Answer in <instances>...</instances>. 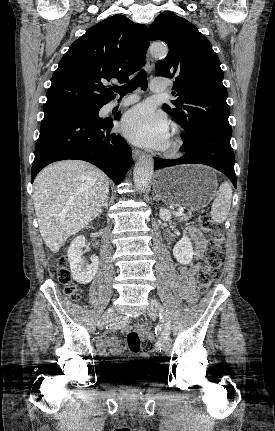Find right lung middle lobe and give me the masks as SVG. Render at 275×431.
Returning a JSON list of instances; mask_svg holds the SVG:
<instances>
[{"mask_svg":"<svg viewBox=\"0 0 275 431\" xmlns=\"http://www.w3.org/2000/svg\"><path fill=\"white\" fill-rule=\"evenodd\" d=\"M99 108H100V106L76 107V108L61 110V111H57V112L79 113V114H83L87 117L99 119V116H98Z\"/></svg>","mask_w":275,"mask_h":431,"instance_id":"right-lung-middle-lobe-1","label":"right lung middle lobe"}]
</instances>
